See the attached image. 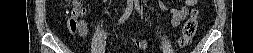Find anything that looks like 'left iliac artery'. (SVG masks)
<instances>
[{
	"label": "left iliac artery",
	"mask_w": 253,
	"mask_h": 53,
	"mask_svg": "<svg viewBox=\"0 0 253 53\" xmlns=\"http://www.w3.org/2000/svg\"><path fill=\"white\" fill-rule=\"evenodd\" d=\"M135 7H136V10L142 15V10L140 8L138 0H135Z\"/></svg>",
	"instance_id": "44dca946"
}]
</instances>
